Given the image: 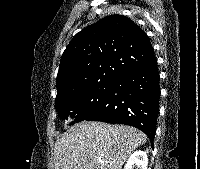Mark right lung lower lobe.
<instances>
[{
    "mask_svg": "<svg viewBox=\"0 0 200 169\" xmlns=\"http://www.w3.org/2000/svg\"><path fill=\"white\" fill-rule=\"evenodd\" d=\"M159 97L156 61L117 78L105 101L85 120L134 126L152 141L156 131Z\"/></svg>",
    "mask_w": 200,
    "mask_h": 169,
    "instance_id": "obj_1",
    "label": "right lung lower lobe"
}]
</instances>
